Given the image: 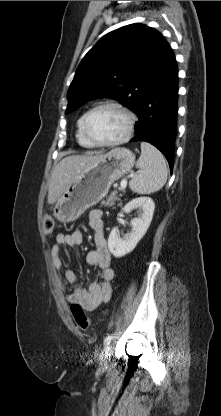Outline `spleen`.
I'll return each mask as SVG.
<instances>
[{"label": "spleen", "instance_id": "obj_1", "mask_svg": "<svg viewBox=\"0 0 221 416\" xmlns=\"http://www.w3.org/2000/svg\"><path fill=\"white\" fill-rule=\"evenodd\" d=\"M139 173L129 182L130 189L138 194L159 191L167 181V165L163 154L153 145L141 142V155L136 163Z\"/></svg>", "mask_w": 221, "mask_h": 416}]
</instances>
